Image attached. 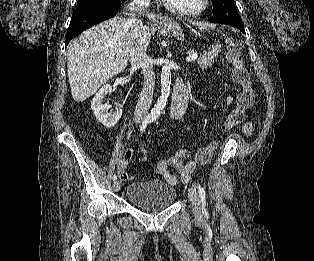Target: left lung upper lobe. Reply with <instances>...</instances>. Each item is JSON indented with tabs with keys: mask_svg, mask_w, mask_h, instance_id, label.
<instances>
[{
	"mask_svg": "<svg viewBox=\"0 0 314 261\" xmlns=\"http://www.w3.org/2000/svg\"><path fill=\"white\" fill-rule=\"evenodd\" d=\"M212 4L213 17L211 22L227 25L243 24L234 5V0H212Z\"/></svg>",
	"mask_w": 314,
	"mask_h": 261,
	"instance_id": "left-lung-upper-lobe-1",
	"label": "left lung upper lobe"
}]
</instances>
